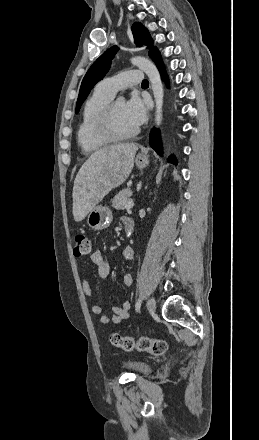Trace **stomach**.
<instances>
[{
    "label": "stomach",
    "mask_w": 259,
    "mask_h": 440,
    "mask_svg": "<svg viewBox=\"0 0 259 440\" xmlns=\"http://www.w3.org/2000/svg\"><path fill=\"white\" fill-rule=\"evenodd\" d=\"M135 163L139 169H143L147 167L149 161L147 157L137 156ZM112 220V211L106 206L98 205L89 212L87 224L94 230H103L110 226Z\"/></svg>",
    "instance_id": "1"
}]
</instances>
